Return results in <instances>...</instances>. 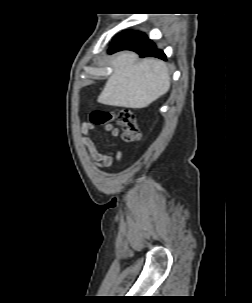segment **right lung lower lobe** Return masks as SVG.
<instances>
[{"label":"right lung lower lobe","instance_id":"obj_1","mask_svg":"<svg viewBox=\"0 0 252 303\" xmlns=\"http://www.w3.org/2000/svg\"><path fill=\"white\" fill-rule=\"evenodd\" d=\"M120 50H132L137 52L140 57H157L166 60V55L162 50L156 48V45L141 32H128L118 34L110 49L109 53H114Z\"/></svg>","mask_w":252,"mask_h":303}]
</instances>
